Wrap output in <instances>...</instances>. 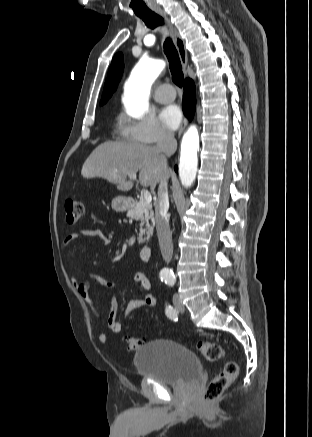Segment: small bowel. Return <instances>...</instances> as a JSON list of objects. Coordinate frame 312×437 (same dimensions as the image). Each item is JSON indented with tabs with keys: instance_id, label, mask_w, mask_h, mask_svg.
Instances as JSON below:
<instances>
[{
	"instance_id": "c3829d8e",
	"label": "small bowel",
	"mask_w": 312,
	"mask_h": 437,
	"mask_svg": "<svg viewBox=\"0 0 312 437\" xmlns=\"http://www.w3.org/2000/svg\"><path fill=\"white\" fill-rule=\"evenodd\" d=\"M84 237H98L104 243L109 242V239L105 237L99 230L96 229L78 230L70 233L65 237V239L62 242L63 250H66L74 240ZM88 279L94 280L95 282L106 288H111L117 285L115 282L103 278L89 276ZM88 279L77 283L76 290L80 295V297L91 307L94 315L96 317H99L100 313L95 305L93 297L90 294V286H89ZM132 281L136 285L141 287V289L144 292V297L142 299H132L128 301L124 310L126 316L130 315L135 310L151 307L156 303V297L154 292L152 291L151 282L144 273L134 274L132 277ZM109 305L110 308L106 321L107 328L110 333L118 334L122 330V325L120 321L117 319V311H118L117 300L114 297H112L109 301ZM99 341L102 343L107 342V335L104 332L100 333Z\"/></svg>"
}]
</instances>
